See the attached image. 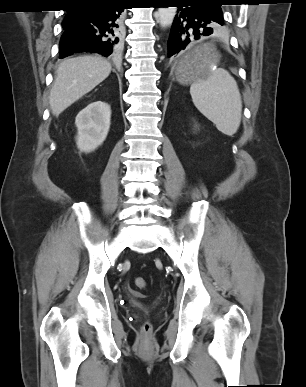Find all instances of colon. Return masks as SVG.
Returning a JSON list of instances; mask_svg holds the SVG:
<instances>
[{"label":"colon","instance_id":"obj_1","mask_svg":"<svg viewBox=\"0 0 306 387\" xmlns=\"http://www.w3.org/2000/svg\"><path fill=\"white\" fill-rule=\"evenodd\" d=\"M134 284L139 289H145L147 287V282L143 277H136L134 280ZM151 324L149 322H145L142 325V332L147 334L151 331Z\"/></svg>","mask_w":306,"mask_h":387}]
</instances>
